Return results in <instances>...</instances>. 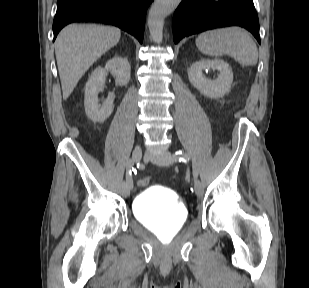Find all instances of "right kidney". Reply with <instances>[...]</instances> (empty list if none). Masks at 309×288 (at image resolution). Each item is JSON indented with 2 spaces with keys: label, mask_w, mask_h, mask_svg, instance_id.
I'll use <instances>...</instances> for the list:
<instances>
[{
  "label": "right kidney",
  "mask_w": 309,
  "mask_h": 288,
  "mask_svg": "<svg viewBox=\"0 0 309 288\" xmlns=\"http://www.w3.org/2000/svg\"><path fill=\"white\" fill-rule=\"evenodd\" d=\"M108 71L114 75L115 82L119 86H126L130 80V64L122 57H114L106 63L104 68L98 67L93 71L85 86L84 106L87 116L94 122H104L114 109V93H109L108 98L102 104L98 103V93L104 89Z\"/></svg>",
  "instance_id": "right-kidney-1"
}]
</instances>
